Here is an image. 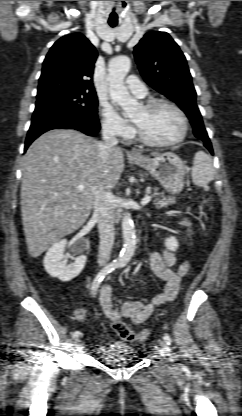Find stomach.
<instances>
[{
  "label": "stomach",
  "instance_id": "obj_1",
  "mask_svg": "<svg viewBox=\"0 0 242 416\" xmlns=\"http://www.w3.org/2000/svg\"><path fill=\"white\" fill-rule=\"evenodd\" d=\"M131 162L148 170L168 192L176 194L183 189L185 166L176 154L165 152L153 158H134Z\"/></svg>",
  "mask_w": 242,
  "mask_h": 416
}]
</instances>
